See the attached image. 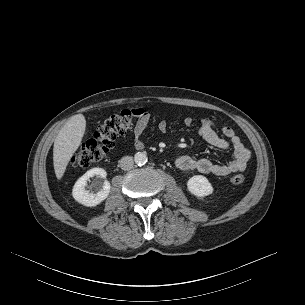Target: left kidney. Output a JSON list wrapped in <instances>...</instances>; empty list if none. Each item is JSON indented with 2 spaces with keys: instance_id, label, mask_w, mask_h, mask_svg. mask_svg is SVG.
Wrapping results in <instances>:
<instances>
[{
  "instance_id": "1",
  "label": "left kidney",
  "mask_w": 305,
  "mask_h": 305,
  "mask_svg": "<svg viewBox=\"0 0 305 305\" xmlns=\"http://www.w3.org/2000/svg\"><path fill=\"white\" fill-rule=\"evenodd\" d=\"M187 189L196 197H205L213 192L211 183L202 175L191 177L187 182Z\"/></svg>"
}]
</instances>
